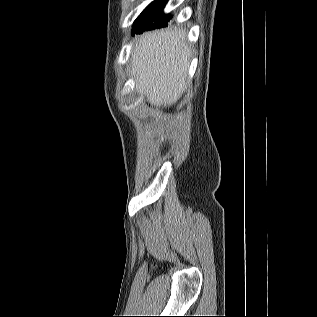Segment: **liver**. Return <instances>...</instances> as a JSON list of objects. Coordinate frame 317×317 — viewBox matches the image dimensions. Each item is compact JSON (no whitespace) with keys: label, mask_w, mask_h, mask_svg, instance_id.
Returning <instances> with one entry per match:
<instances>
[{"label":"liver","mask_w":317,"mask_h":317,"mask_svg":"<svg viewBox=\"0 0 317 317\" xmlns=\"http://www.w3.org/2000/svg\"><path fill=\"white\" fill-rule=\"evenodd\" d=\"M190 56L186 33L181 29L142 35L132 50L131 76L137 92L152 106H171L186 89Z\"/></svg>","instance_id":"liver-1"}]
</instances>
